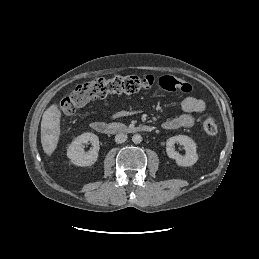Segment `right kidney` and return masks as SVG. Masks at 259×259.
<instances>
[{
	"mask_svg": "<svg viewBox=\"0 0 259 259\" xmlns=\"http://www.w3.org/2000/svg\"><path fill=\"white\" fill-rule=\"evenodd\" d=\"M88 141L92 143V148L88 153H85L82 146ZM99 149L98 136L93 133L86 132L76 137L69 145L67 149V157L70 159L72 164L80 167H87L93 165L97 161Z\"/></svg>",
	"mask_w": 259,
	"mask_h": 259,
	"instance_id": "right-kidney-1",
	"label": "right kidney"
}]
</instances>
